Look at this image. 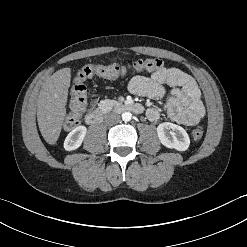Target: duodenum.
Masks as SVG:
<instances>
[{"mask_svg":"<svg viewBox=\"0 0 247 247\" xmlns=\"http://www.w3.org/2000/svg\"><path fill=\"white\" fill-rule=\"evenodd\" d=\"M119 111H131L137 114L143 112V107L138 103H122L116 106ZM103 119V111L101 109H96L91 111L86 116V123L89 125H97Z\"/></svg>","mask_w":247,"mask_h":247,"instance_id":"410a0bca","label":"duodenum"}]
</instances>
